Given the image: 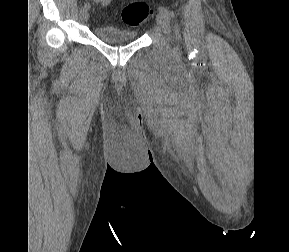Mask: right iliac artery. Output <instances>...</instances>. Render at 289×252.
Here are the masks:
<instances>
[{"label": "right iliac artery", "mask_w": 289, "mask_h": 252, "mask_svg": "<svg viewBox=\"0 0 289 252\" xmlns=\"http://www.w3.org/2000/svg\"><path fill=\"white\" fill-rule=\"evenodd\" d=\"M83 9L89 10L90 9V4L89 3H85L84 6H83Z\"/></svg>", "instance_id": "1"}]
</instances>
